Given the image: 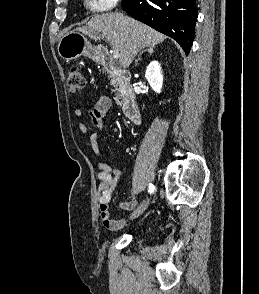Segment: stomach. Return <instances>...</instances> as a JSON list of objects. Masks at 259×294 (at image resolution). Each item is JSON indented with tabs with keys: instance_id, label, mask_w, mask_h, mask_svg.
Here are the masks:
<instances>
[{
	"instance_id": "stomach-1",
	"label": "stomach",
	"mask_w": 259,
	"mask_h": 294,
	"mask_svg": "<svg viewBox=\"0 0 259 294\" xmlns=\"http://www.w3.org/2000/svg\"><path fill=\"white\" fill-rule=\"evenodd\" d=\"M58 53L65 60H73L82 55L93 56L89 41L78 30H72L63 35L58 43Z\"/></svg>"
}]
</instances>
